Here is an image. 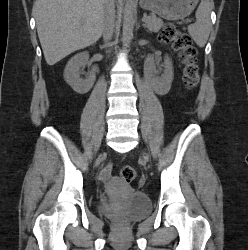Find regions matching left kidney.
Wrapping results in <instances>:
<instances>
[{"label":"left kidney","mask_w":248,"mask_h":250,"mask_svg":"<svg viewBox=\"0 0 248 250\" xmlns=\"http://www.w3.org/2000/svg\"><path fill=\"white\" fill-rule=\"evenodd\" d=\"M165 64L166 69L162 77L154 80V90L157 93H161L165 89H169L173 80V67L171 60L168 57L165 59Z\"/></svg>","instance_id":"left-kidney-1"}]
</instances>
